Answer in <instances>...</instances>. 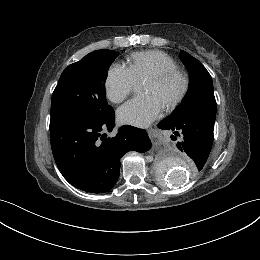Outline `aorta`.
I'll return each instance as SVG.
<instances>
[{
	"mask_svg": "<svg viewBox=\"0 0 260 260\" xmlns=\"http://www.w3.org/2000/svg\"><path fill=\"white\" fill-rule=\"evenodd\" d=\"M188 167L185 157L173 154L156 165V173L166 184L180 185L191 175Z\"/></svg>",
	"mask_w": 260,
	"mask_h": 260,
	"instance_id": "762f6f07",
	"label": "aorta"
}]
</instances>
